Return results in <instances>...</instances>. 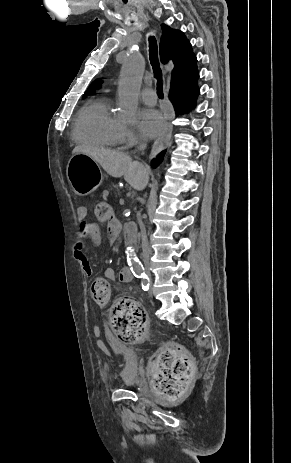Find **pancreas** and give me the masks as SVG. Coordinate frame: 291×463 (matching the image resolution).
Masks as SVG:
<instances>
[{"label":"pancreas","mask_w":291,"mask_h":463,"mask_svg":"<svg viewBox=\"0 0 291 463\" xmlns=\"http://www.w3.org/2000/svg\"><path fill=\"white\" fill-rule=\"evenodd\" d=\"M109 192L114 194L115 196H120L121 195V188L114 183H111L108 188Z\"/></svg>","instance_id":"pancreas-1"}]
</instances>
